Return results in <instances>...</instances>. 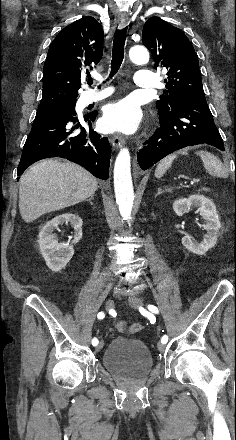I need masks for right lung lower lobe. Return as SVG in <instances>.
<instances>
[{"label": "right lung lower lobe", "mask_w": 236, "mask_h": 440, "mask_svg": "<svg viewBox=\"0 0 236 440\" xmlns=\"http://www.w3.org/2000/svg\"><path fill=\"white\" fill-rule=\"evenodd\" d=\"M96 115L89 113L77 118L72 106L39 107L17 175H22L27 167L41 159L61 157L81 165L100 179H108L110 144L108 138L91 128Z\"/></svg>", "instance_id": "1"}]
</instances>
